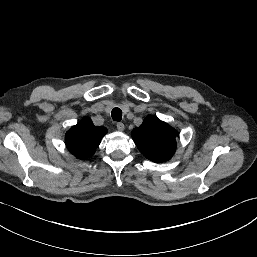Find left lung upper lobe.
I'll list each match as a JSON object with an SVG mask.
<instances>
[{
	"label": "left lung upper lobe",
	"instance_id": "obj_1",
	"mask_svg": "<svg viewBox=\"0 0 257 257\" xmlns=\"http://www.w3.org/2000/svg\"><path fill=\"white\" fill-rule=\"evenodd\" d=\"M178 133L167 123L155 116H149L133 129L132 138L138 149L149 160L164 162L175 153Z\"/></svg>",
	"mask_w": 257,
	"mask_h": 257
}]
</instances>
